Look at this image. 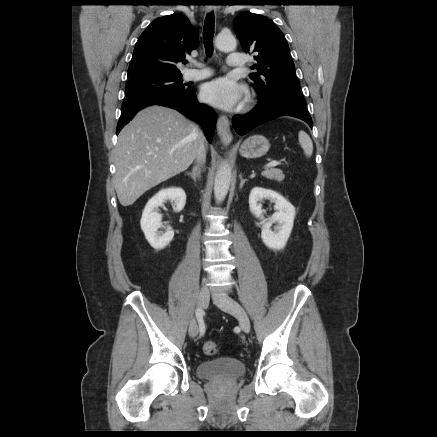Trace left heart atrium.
Segmentation results:
<instances>
[{"mask_svg":"<svg viewBox=\"0 0 437 437\" xmlns=\"http://www.w3.org/2000/svg\"><path fill=\"white\" fill-rule=\"evenodd\" d=\"M245 89L229 78H219L204 85L203 99L223 110H233L244 96Z\"/></svg>","mask_w":437,"mask_h":437,"instance_id":"left-heart-atrium-1","label":"left heart atrium"}]
</instances>
